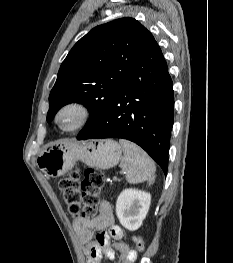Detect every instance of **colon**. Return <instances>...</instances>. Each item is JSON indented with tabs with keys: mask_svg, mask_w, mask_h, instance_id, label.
<instances>
[{
	"mask_svg": "<svg viewBox=\"0 0 233 263\" xmlns=\"http://www.w3.org/2000/svg\"><path fill=\"white\" fill-rule=\"evenodd\" d=\"M104 174L97 169H87L83 178L77 170L69 172L59 181V189L71 215L85 219L98 216L99 195L104 186ZM132 243L136 251H143L145 241L142 237H133Z\"/></svg>",
	"mask_w": 233,
	"mask_h": 263,
	"instance_id": "5ec220e1",
	"label": "colon"
}]
</instances>
